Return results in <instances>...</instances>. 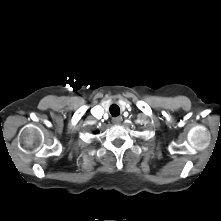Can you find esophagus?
<instances>
[{"instance_id":"esophagus-1","label":"esophagus","mask_w":221,"mask_h":221,"mask_svg":"<svg viewBox=\"0 0 221 221\" xmlns=\"http://www.w3.org/2000/svg\"><path fill=\"white\" fill-rule=\"evenodd\" d=\"M112 122H113V124H115V125H119V124L122 122V117H121V116L114 117V118L112 119Z\"/></svg>"}]
</instances>
